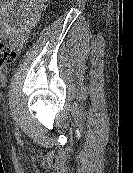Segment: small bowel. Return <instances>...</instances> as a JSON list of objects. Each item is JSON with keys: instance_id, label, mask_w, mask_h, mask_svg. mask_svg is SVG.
I'll list each match as a JSON object with an SVG mask.
<instances>
[{"instance_id": "obj_1", "label": "small bowel", "mask_w": 133, "mask_h": 173, "mask_svg": "<svg viewBox=\"0 0 133 173\" xmlns=\"http://www.w3.org/2000/svg\"><path fill=\"white\" fill-rule=\"evenodd\" d=\"M47 0H0L2 37H12L22 47L38 22ZM18 4V7H16Z\"/></svg>"}]
</instances>
